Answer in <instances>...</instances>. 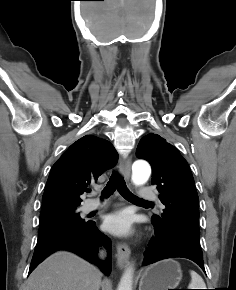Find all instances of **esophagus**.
<instances>
[{
  "label": "esophagus",
  "instance_id": "34e87169",
  "mask_svg": "<svg viewBox=\"0 0 236 290\" xmlns=\"http://www.w3.org/2000/svg\"><path fill=\"white\" fill-rule=\"evenodd\" d=\"M119 172L120 174L125 178V180H129L130 173H131V157L125 156L121 159L119 164ZM117 249V265L120 268H123L124 265L127 263L129 257H130V248L125 243H118L116 246Z\"/></svg>",
  "mask_w": 236,
  "mask_h": 290
}]
</instances>
